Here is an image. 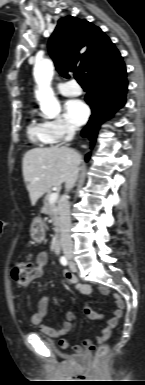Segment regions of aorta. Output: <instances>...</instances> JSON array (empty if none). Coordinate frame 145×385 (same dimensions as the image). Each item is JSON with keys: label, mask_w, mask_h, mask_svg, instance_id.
<instances>
[{"label": "aorta", "mask_w": 145, "mask_h": 385, "mask_svg": "<svg viewBox=\"0 0 145 385\" xmlns=\"http://www.w3.org/2000/svg\"><path fill=\"white\" fill-rule=\"evenodd\" d=\"M33 75L37 84L35 94L40 109L47 118H54L60 113L61 107L51 87L54 75L52 61L49 59L38 61L34 66Z\"/></svg>", "instance_id": "762f6f07"}]
</instances>
